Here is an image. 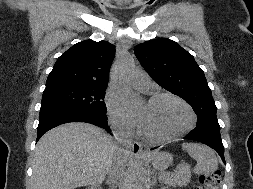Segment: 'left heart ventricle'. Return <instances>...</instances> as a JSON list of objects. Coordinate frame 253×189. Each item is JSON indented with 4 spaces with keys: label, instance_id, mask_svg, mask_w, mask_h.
I'll use <instances>...</instances> for the list:
<instances>
[{
    "label": "left heart ventricle",
    "instance_id": "1",
    "mask_svg": "<svg viewBox=\"0 0 253 189\" xmlns=\"http://www.w3.org/2000/svg\"><path fill=\"white\" fill-rule=\"evenodd\" d=\"M142 115L141 128L155 136H168L189 121L187 110L179 103L170 99H161L154 103H144L139 108Z\"/></svg>",
    "mask_w": 253,
    "mask_h": 189
}]
</instances>
